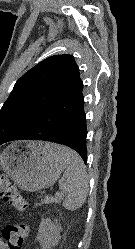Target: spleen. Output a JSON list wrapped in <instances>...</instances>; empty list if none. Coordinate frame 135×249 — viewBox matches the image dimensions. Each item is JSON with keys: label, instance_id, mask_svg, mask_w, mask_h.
Returning <instances> with one entry per match:
<instances>
[{"label": "spleen", "instance_id": "3e777b00", "mask_svg": "<svg viewBox=\"0 0 135 249\" xmlns=\"http://www.w3.org/2000/svg\"><path fill=\"white\" fill-rule=\"evenodd\" d=\"M53 149L66 164L59 180V188L65 194L62 205L70 211H75L83 206L89 190L85 164L74 150L55 144Z\"/></svg>", "mask_w": 135, "mask_h": 249}]
</instances>
